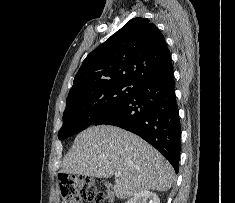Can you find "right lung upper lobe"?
<instances>
[{
    "mask_svg": "<svg viewBox=\"0 0 235 203\" xmlns=\"http://www.w3.org/2000/svg\"><path fill=\"white\" fill-rule=\"evenodd\" d=\"M172 66L165 39L144 18H133L83 61L69 93L111 80L141 83Z\"/></svg>",
    "mask_w": 235,
    "mask_h": 203,
    "instance_id": "cb5924a9",
    "label": "right lung upper lobe"
}]
</instances>
